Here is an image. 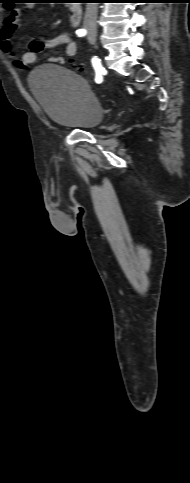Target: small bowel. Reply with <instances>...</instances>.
Returning a JSON list of instances; mask_svg holds the SVG:
<instances>
[{
  "instance_id": "c3829d8e",
  "label": "small bowel",
  "mask_w": 190,
  "mask_h": 483,
  "mask_svg": "<svg viewBox=\"0 0 190 483\" xmlns=\"http://www.w3.org/2000/svg\"><path fill=\"white\" fill-rule=\"evenodd\" d=\"M25 7L14 8L5 18L3 25L0 27V49L7 56L10 62L18 68L25 69L30 64L34 63L38 55L47 48L64 46L65 54L68 58L75 56L77 51L76 42L71 36L66 33H60L53 37H48L41 40L31 41L28 44V51L22 56L18 57L14 51L11 43V37L15 32L19 18L22 15ZM51 63H64L65 59L59 57H51L47 60Z\"/></svg>"
}]
</instances>
